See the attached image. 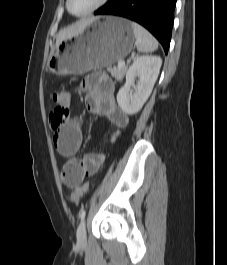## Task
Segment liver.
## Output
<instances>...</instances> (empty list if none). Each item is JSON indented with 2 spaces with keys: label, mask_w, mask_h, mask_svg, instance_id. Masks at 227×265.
<instances>
[{
  "label": "liver",
  "mask_w": 227,
  "mask_h": 265,
  "mask_svg": "<svg viewBox=\"0 0 227 265\" xmlns=\"http://www.w3.org/2000/svg\"><path fill=\"white\" fill-rule=\"evenodd\" d=\"M85 27V22H79L75 25H71L67 28L62 29L57 36L56 47H58L63 40L75 37L76 35L80 34L85 29Z\"/></svg>",
  "instance_id": "6515ba94"
}]
</instances>
